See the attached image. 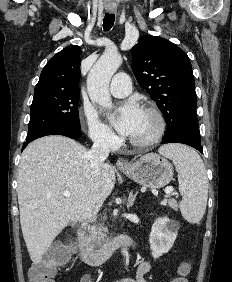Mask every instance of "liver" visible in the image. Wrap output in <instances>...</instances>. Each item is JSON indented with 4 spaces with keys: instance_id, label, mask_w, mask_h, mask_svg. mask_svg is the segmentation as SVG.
Wrapping results in <instances>:
<instances>
[{
    "instance_id": "6515ba94",
    "label": "liver",
    "mask_w": 232,
    "mask_h": 282,
    "mask_svg": "<svg viewBox=\"0 0 232 282\" xmlns=\"http://www.w3.org/2000/svg\"><path fill=\"white\" fill-rule=\"evenodd\" d=\"M88 150L65 136H45L23 151L18 173V203L23 237L37 264L70 221L99 211L115 185L112 166L102 165L98 182ZM70 191V197L63 192Z\"/></svg>"
}]
</instances>
